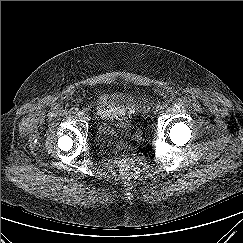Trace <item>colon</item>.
<instances>
[{
	"label": "colon",
	"instance_id": "obj_1",
	"mask_svg": "<svg viewBox=\"0 0 243 243\" xmlns=\"http://www.w3.org/2000/svg\"><path fill=\"white\" fill-rule=\"evenodd\" d=\"M119 173L125 180H134L140 176L141 170L133 158H123L120 162Z\"/></svg>",
	"mask_w": 243,
	"mask_h": 243
}]
</instances>
